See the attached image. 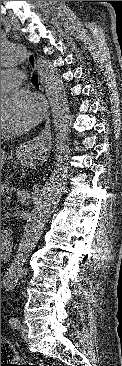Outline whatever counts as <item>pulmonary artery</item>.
<instances>
[{
    "label": "pulmonary artery",
    "instance_id": "pulmonary-artery-1",
    "mask_svg": "<svg viewBox=\"0 0 122 366\" xmlns=\"http://www.w3.org/2000/svg\"><path fill=\"white\" fill-rule=\"evenodd\" d=\"M24 74L17 70H1V93L19 88Z\"/></svg>",
    "mask_w": 122,
    "mask_h": 366
}]
</instances>
